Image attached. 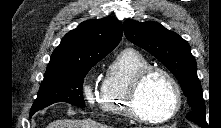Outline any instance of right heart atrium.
Returning a JSON list of instances; mask_svg holds the SVG:
<instances>
[{
	"mask_svg": "<svg viewBox=\"0 0 221 128\" xmlns=\"http://www.w3.org/2000/svg\"><path fill=\"white\" fill-rule=\"evenodd\" d=\"M84 93L88 100H92L94 97V89L90 83L84 85Z\"/></svg>",
	"mask_w": 221,
	"mask_h": 128,
	"instance_id": "d8ad5b80",
	"label": "right heart atrium"
}]
</instances>
